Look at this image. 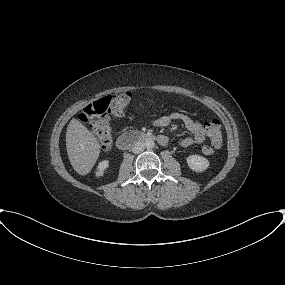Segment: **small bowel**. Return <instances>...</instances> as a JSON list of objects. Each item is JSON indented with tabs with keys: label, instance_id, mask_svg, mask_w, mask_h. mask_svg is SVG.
Segmentation results:
<instances>
[{
	"label": "small bowel",
	"instance_id": "c3829d8e",
	"mask_svg": "<svg viewBox=\"0 0 285 285\" xmlns=\"http://www.w3.org/2000/svg\"><path fill=\"white\" fill-rule=\"evenodd\" d=\"M173 121H181L189 132V136L181 140V146L199 145L205 141L207 136L205 126L183 113L173 112L159 117L153 123L156 126L165 127L170 125Z\"/></svg>",
	"mask_w": 285,
	"mask_h": 285
}]
</instances>
